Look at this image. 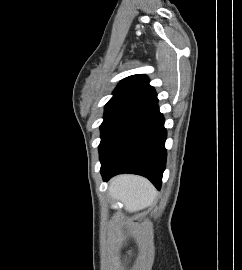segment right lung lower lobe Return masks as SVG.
<instances>
[{"label":"right lung lower lobe","mask_w":242,"mask_h":270,"mask_svg":"<svg viewBox=\"0 0 242 270\" xmlns=\"http://www.w3.org/2000/svg\"><path fill=\"white\" fill-rule=\"evenodd\" d=\"M166 129L155 98L138 106L100 155L104 181L119 173L147 177L158 189L166 164Z\"/></svg>","instance_id":"98d812e1"}]
</instances>
